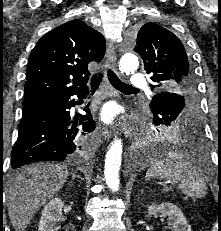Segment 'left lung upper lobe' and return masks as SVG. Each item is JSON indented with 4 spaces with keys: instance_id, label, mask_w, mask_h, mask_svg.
Here are the masks:
<instances>
[{
    "instance_id": "1",
    "label": "left lung upper lobe",
    "mask_w": 221,
    "mask_h": 231,
    "mask_svg": "<svg viewBox=\"0 0 221 231\" xmlns=\"http://www.w3.org/2000/svg\"><path fill=\"white\" fill-rule=\"evenodd\" d=\"M134 51L141 56L146 72L151 74V89L172 93L175 99V104L166 105L151 101L154 123L161 117V112L178 116L185 104L191 106L196 102L192 60L175 34L156 23H146L136 33Z\"/></svg>"
}]
</instances>
